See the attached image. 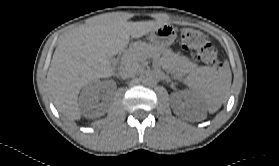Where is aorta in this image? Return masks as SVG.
I'll return each mask as SVG.
<instances>
[{"label":"aorta","mask_w":279,"mask_h":166,"mask_svg":"<svg viewBox=\"0 0 279 166\" xmlns=\"http://www.w3.org/2000/svg\"><path fill=\"white\" fill-rule=\"evenodd\" d=\"M142 82L146 85H150L154 82V77L151 74H145L142 76Z\"/></svg>","instance_id":"obj_1"}]
</instances>
